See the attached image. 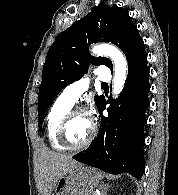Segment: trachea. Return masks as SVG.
Segmentation results:
<instances>
[{
  "label": "trachea",
  "instance_id": "1",
  "mask_svg": "<svg viewBox=\"0 0 178 195\" xmlns=\"http://www.w3.org/2000/svg\"><path fill=\"white\" fill-rule=\"evenodd\" d=\"M101 87H107V84H102Z\"/></svg>",
  "mask_w": 178,
  "mask_h": 195
}]
</instances>
